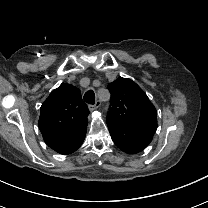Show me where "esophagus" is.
<instances>
[{
  "label": "esophagus",
  "instance_id": "esophagus-1",
  "mask_svg": "<svg viewBox=\"0 0 208 208\" xmlns=\"http://www.w3.org/2000/svg\"><path fill=\"white\" fill-rule=\"evenodd\" d=\"M101 105V101L97 100L95 104L88 105L90 111L96 110Z\"/></svg>",
  "mask_w": 208,
  "mask_h": 208
}]
</instances>
